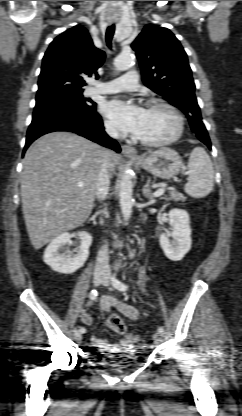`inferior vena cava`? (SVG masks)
Instances as JSON below:
<instances>
[{
    "label": "inferior vena cava",
    "mask_w": 242,
    "mask_h": 416,
    "mask_svg": "<svg viewBox=\"0 0 242 416\" xmlns=\"http://www.w3.org/2000/svg\"><path fill=\"white\" fill-rule=\"evenodd\" d=\"M105 129L109 136L112 138H118L119 132L112 125L105 123ZM110 186V176H109V164H108V152L104 153L103 160L100 164L97 184H96V196L102 201L107 197ZM96 271L109 272V255L107 245L101 247L98 252L97 262H96Z\"/></svg>",
    "instance_id": "602c4592"
}]
</instances>
